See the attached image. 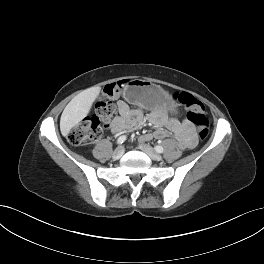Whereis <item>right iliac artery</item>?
Listing matches in <instances>:
<instances>
[{"label":"right iliac artery","mask_w":264,"mask_h":264,"mask_svg":"<svg viewBox=\"0 0 264 264\" xmlns=\"http://www.w3.org/2000/svg\"><path fill=\"white\" fill-rule=\"evenodd\" d=\"M127 137L125 135H122L120 136L118 139H117V144H122L126 141Z\"/></svg>","instance_id":"1"}]
</instances>
